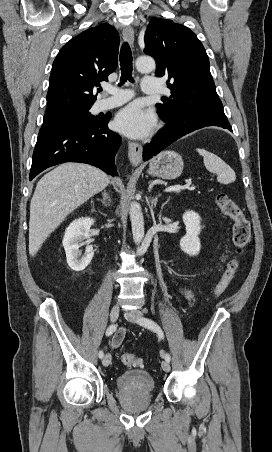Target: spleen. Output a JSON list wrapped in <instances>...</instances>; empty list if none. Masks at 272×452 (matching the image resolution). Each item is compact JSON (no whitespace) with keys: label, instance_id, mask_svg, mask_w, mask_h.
Wrapping results in <instances>:
<instances>
[{"label":"spleen","instance_id":"spleen-1","mask_svg":"<svg viewBox=\"0 0 272 452\" xmlns=\"http://www.w3.org/2000/svg\"><path fill=\"white\" fill-rule=\"evenodd\" d=\"M196 150L201 156H203V162L206 169L217 174V180L219 183L230 184L235 181V172L220 157L205 149L198 148Z\"/></svg>","mask_w":272,"mask_h":452}]
</instances>
